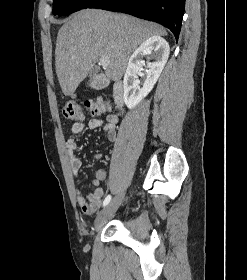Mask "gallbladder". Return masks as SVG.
I'll return each instance as SVG.
<instances>
[{
	"label": "gallbladder",
	"mask_w": 247,
	"mask_h": 280,
	"mask_svg": "<svg viewBox=\"0 0 247 280\" xmlns=\"http://www.w3.org/2000/svg\"><path fill=\"white\" fill-rule=\"evenodd\" d=\"M95 73H96V70H94V69L91 70V71H90V75H89L90 78L93 77V76L95 75ZM88 85H89V86L91 85V80H89Z\"/></svg>",
	"instance_id": "bac80fb5"
}]
</instances>
